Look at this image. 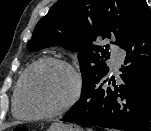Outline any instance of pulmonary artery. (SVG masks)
I'll use <instances>...</instances> for the list:
<instances>
[{
  "label": "pulmonary artery",
  "mask_w": 151,
  "mask_h": 131,
  "mask_svg": "<svg viewBox=\"0 0 151 131\" xmlns=\"http://www.w3.org/2000/svg\"><path fill=\"white\" fill-rule=\"evenodd\" d=\"M123 60V54L118 49L114 50L112 53L111 63L114 68H118Z\"/></svg>",
  "instance_id": "obj_1"
}]
</instances>
